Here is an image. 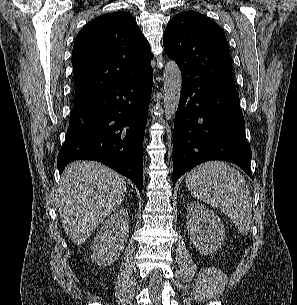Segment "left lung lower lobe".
<instances>
[{
    "label": "left lung lower lobe",
    "instance_id": "obj_1",
    "mask_svg": "<svg viewBox=\"0 0 297 305\" xmlns=\"http://www.w3.org/2000/svg\"><path fill=\"white\" fill-rule=\"evenodd\" d=\"M181 72L182 91L173 134V183L210 160L232 162L253 179L252 153L232 76L196 77Z\"/></svg>",
    "mask_w": 297,
    "mask_h": 305
}]
</instances>
